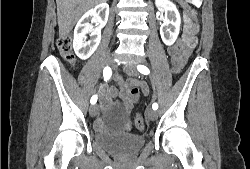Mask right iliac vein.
Returning a JSON list of instances; mask_svg holds the SVG:
<instances>
[{
	"label": "right iliac vein",
	"mask_w": 250,
	"mask_h": 169,
	"mask_svg": "<svg viewBox=\"0 0 250 169\" xmlns=\"http://www.w3.org/2000/svg\"><path fill=\"white\" fill-rule=\"evenodd\" d=\"M105 65H109V66H111L112 68H116V62L114 61V58L113 57H108L107 59H106V61H105ZM97 113H98V105H96V104H93L92 106H91V108H90V115L92 116V117H95L96 115H97Z\"/></svg>",
	"instance_id": "obj_1"
}]
</instances>
